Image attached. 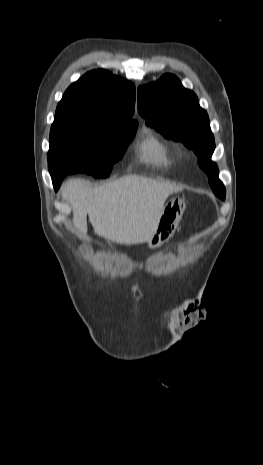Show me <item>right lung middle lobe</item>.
Wrapping results in <instances>:
<instances>
[{
	"mask_svg": "<svg viewBox=\"0 0 263 465\" xmlns=\"http://www.w3.org/2000/svg\"><path fill=\"white\" fill-rule=\"evenodd\" d=\"M138 123L85 112H56L50 130L48 166L51 177L87 173L109 176L122 158Z\"/></svg>",
	"mask_w": 263,
	"mask_h": 465,
	"instance_id": "obj_1",
	"label": "right lung middle lobe"
}]
</instances>
